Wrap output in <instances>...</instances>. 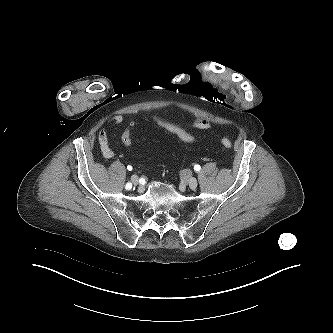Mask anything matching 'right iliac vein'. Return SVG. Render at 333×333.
<instances>
[{
  "mask_svg": "<svg viewBox=\"0 0 333 333\" xmlns=\"http://www.w3.org/2000/svg\"><path fill=\"white\" fill-rule=\"evenodd\" d=\"M131 180H132V183H133L134 185H138V184H139V178H138L136 175H133V176L131 177Z\"/></svg>",
  "mask_w": 333,
  "mask_h": 333,
  "instance_id": "63e3f726",
  "label": "right iliac vein"
}]
</instances>
